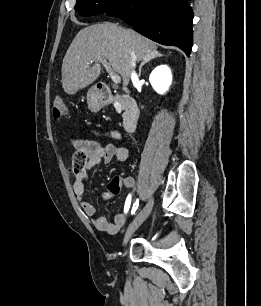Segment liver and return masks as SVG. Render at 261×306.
Here are the masks:
<instances>
[{
  "mask_svg": "<svg viewBox=\"0 0 261 306\" xmlns=\"http://www.w3.org/2000/svg\"><path fill=\"white\" fill-rule=\"evenodd\" d=\"M131 52L136 60H145L158 53L157 45L139 33L113 23L94 24L81 29L73 39L62 63V87L69 95L93 83L101 74L95 58L109 61L127 86L131 74Z\"/></svg>",
  "mask_w": 261,
  "mask_h": 306,
  "instance_id": "obj_1",
  "label": "liver"
}]
</instances>
